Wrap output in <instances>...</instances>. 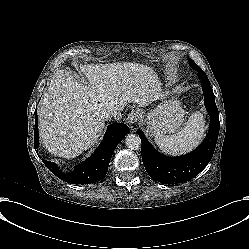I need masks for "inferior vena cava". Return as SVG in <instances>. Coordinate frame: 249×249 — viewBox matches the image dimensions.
Listing matches in <instances>:
<instances>
[{
    "mask_svg": "<svg viewBox=\"0 0 249 249\" xmlns=\"http://www.w3.org/2000/svg\"><path fill=\"white\" fill-rule=\"evenodd\" d=\"M121 111L122 110L118 106L111 105L108 108L107 117L115 121H120L122 119Z\"/></svg>",
    "mask_w": 249,
    "mask_h": 249,
    "instance_id": "inferior-vena-cava-1",
    "label": "inferior vena cava"
}]
</instances>
